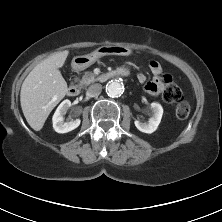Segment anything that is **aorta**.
Instances as JSON below:
<instances>
[{"label": "aorta", "mask_w": 222, "mask_h": 222, "mask_svg": "<svg viewBox=\"0 0 222 222\" xmlns=\"http://www.w3.org/2000/svg\"><path fill=\"white\" fill-rule=\"evenodd\" d=\"M124 91L123 83L119 80H111L106 85V92L110 97H118Z\"/></svg>", "instance_id": "aorta-1"}]
</instances>
